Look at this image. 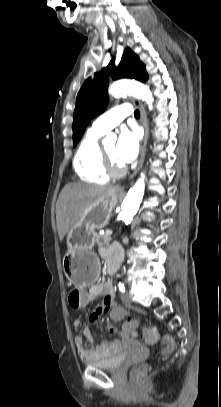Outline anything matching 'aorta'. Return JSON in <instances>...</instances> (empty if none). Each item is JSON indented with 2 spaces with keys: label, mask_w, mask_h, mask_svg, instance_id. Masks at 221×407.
<instances>
[{
  "label": "aorta",
  "mask_w": 221,
  "mask_h": 407,
  "mask_svg": "<svg viewBox=\"0 0 221 407\" xmlns=\"http://www.w3.org/2000/svg\"><path fill=\"white\" fill-rule=\"evenodd\" d=\"M109 94L114 97L122 95H133L136 98L142 99L148 104L149 109H152L153 96L147 85L137 81L120 80L113 83L109 88ZM145 175L141 173L140 178L134 186L128 191L123 203L120 216L122 220L130 222L133 216L137 213L141 204L145 190Z\"/></svg>",
  "instance_id": "1"
}]
</instances>
